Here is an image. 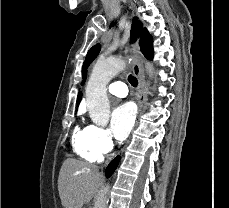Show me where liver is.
Masks as SVG:
<instances>
[{
  "instance_id": "1",
  "label": "liver",
  "mask_w": 229,
  "mask_h": 208,
  "mask_svg": "<svg viewBox=\"0 0 229 208\" xmlns=\"http://www.w3.org/2000/svg\"><path fill=\"white\" fill-rule=\"evenodd\" d=\"M103 174L97 166L68 158L61 166L58 190L63 208H82L102 186Z\"/></svg>"
}]
</instances>
